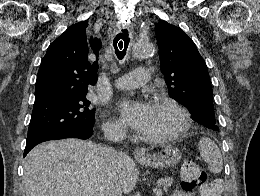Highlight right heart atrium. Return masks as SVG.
I'll use <instances>...</instances> for the list:
<instances>
[{
	"label": "right heart atrium",
	"instance_id": "right-heart-atrium-1",
	"mask_svg": "<svg viewBox=\"0 0 260 196\" xmlns=\"http://www.w3.org/2000/svg\"><path fill=\"white\" fill-rule=\"evenodd\" d=\"M104 128L105 129H121L122 127H121V124L118 121L113 120V119H108L104 123Z\"/></svg>",
	"mask_w": 260,
	"mask_h": 196
}]
</instances>
